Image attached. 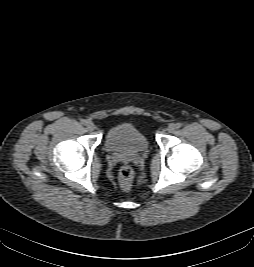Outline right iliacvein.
Segmentation results:
<instances>
[{
	"label": "right iliac vein",
	"instance_id": "obj_1",
	"mask_svg": "<svg viewBox=\"0 0 254 267\" xmlns=\"http://www.w3.org/2000/svg\"><path fill=\"white\" fill-rule=\"evenodd\" d=\"M86 127L89 131H93L95 129V125L91 121L86 122Z\"/></svg>",
	"mask_w": 254,
	"mask_h": 267
}]
</instances>
